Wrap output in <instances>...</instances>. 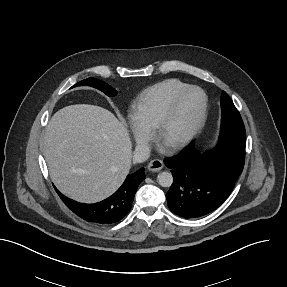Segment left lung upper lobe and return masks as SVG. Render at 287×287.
Wrapping results in <instances>:
<instances>
[{
    "instance_id": "5c2ea615",
    "label": "left lung upper lobe",
    "mask_w": 287,
    "mask_h": 287,
    "mask_svg": "<svg viewBox=\"0 0 287 287\" xmlns=\"http://www.w3.org/2000/svg\"><path fill=\"white\" fill-rule=\"evenodd\" d=\"M221 110V134L230 132L245 133L240 113L226 92L221 95Z\"/></svg>"
}]
</instances>
